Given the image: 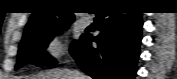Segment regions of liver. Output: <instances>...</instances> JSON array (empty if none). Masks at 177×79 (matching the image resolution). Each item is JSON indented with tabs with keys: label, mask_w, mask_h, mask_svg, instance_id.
Here are the masks:
<instances>
[{
	"label": "liver",
	"mask_w": 177,
	"mask_h": 79,
	"mask_svg": "<svg viewBox=\"0 0 177 79\" xmlns=\"http://www.w3.org/2000/svg\"><path fill=\"white\" fill-rule=\"evenodd\" d=\"M84 79H90L89 76L83 75ZM26 79H74L73 71L69 69H52L38 73L33 76H28Z\"/></svg>",
	"instance_id": "liver-1"
}]
</instances>
